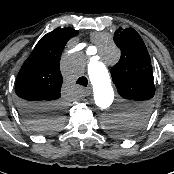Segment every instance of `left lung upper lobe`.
Returning a JSON list of instances; mask_svg holds the SVG:
<instances>
[{
	"label": "left lung upper lobe",
	"mask_w": 174,
	"mask_h": 174,
	"mask_svg": "<svg viewBox=\"0 0 174 174\" xmlns=\"http://www.w3.org/2000/svg\"><path fill=\"white\" fill-rule=\"evenodd\" d=\"M114 42L121 50V58L111 69L113 82L118 93L132 102L129 114L111 123L110 131L117 137L127 138L148 121L155 86L151 59L139 34L133 28H119Z\"/></svg>",
	"instance_id": "5c2ea615"
}]
</instances>
